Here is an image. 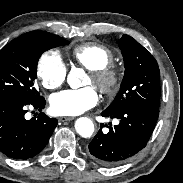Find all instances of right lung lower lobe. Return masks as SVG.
Here are the masks:
<instances>
[{
	"label": "right lung lower lobe",
	"mask_w": 183,
	"mask_h": 183,
	"mask_svg": "<svg viewBox=\"0 0 183 183\" xmlns=\"http://www.w3.org/2000/svg\"><path fill=\"white\" fill-rule=\"evenodd\" d=\"M42 96L0 99V151L15 160L36 156L48 143L57 119L40 113L38 118H24L26 105L41 111L45 107Z\"/></svg>",
	"instance_id": "98d812e1"
}]
</instances>
